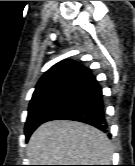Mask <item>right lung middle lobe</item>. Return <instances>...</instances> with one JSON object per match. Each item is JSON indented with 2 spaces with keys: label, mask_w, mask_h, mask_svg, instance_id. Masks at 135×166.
Listing matches in <instances>:
<instances>
[{
  "label": "right lung middle lobe",
  "mask_w": 135,
  "mask_h": 166,
  "mask_svg": "<svg viewBox=\"0 0 135 166\" xmlns=\"http://www.w3.org/2000/svg\"><path fill=\"white\" fill-rule=\"evenodd\" d=\"M72 99L68 87L54 90L41 98L30 102L25 124L26 139L42 123L54 120L67 110Z\"/></svg>",
  "instance_id": "1"
}]
</instances>
